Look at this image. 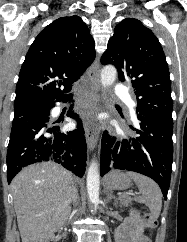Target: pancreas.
I'll return each mask as SVG.
<instances>
[{
    "label": "pancreas",
    "mask_w": 187,
    "mask_h": 242,
    "mask_svg": "<svg viewBox=\"0 0 187 242\" xmlns=\"http://www.w3.org/2000/svg\"><path fill=\"white\" fill-rule=\"evenodd\" d=\"M119 200L121 201V203L123 205H126V206H128L131 203V201H132V199L130 197L125 196V195L119 197Z\"/></svg>",
    "instance_id": "pancreas-1"
}]
</instances>
